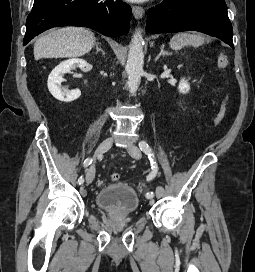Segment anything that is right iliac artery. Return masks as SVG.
<instances>
[{
    "label": "right iliac artery",
    "instance_id": "right-iliac-artery-1",
    "mask_svg": "<svg viewBox=\"0 0 255 272\" xmlns=\"http://www.w3.org/2000/svg\"><path fill=\"white\" fill-rule=\"evenodd\" d=\"M93 161V158L92 157H88L87 159H85L84 163H83V166L84 168L88 167ZM84 182V178L83 176H81L79 179H78V183L79 185L83 184Z\"/></svg>",
    "mask_w": 255,
    "mask_h": 272
}]
</instances>
